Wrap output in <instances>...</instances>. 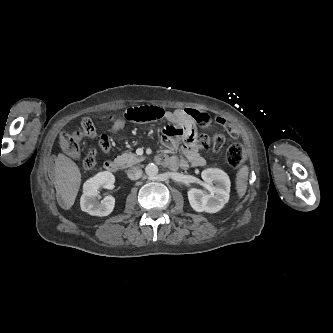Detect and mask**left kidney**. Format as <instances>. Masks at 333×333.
<instances>
[{
  "label": "left kidney",
  "mask_w": 333,
  "mask_h": 333,
  "mask_svg": "<svg viewBox=\"0 0 333 333\" xmlns=\"http://www.w3.org/2000/svg\"><path fill=\"white\" fill-rule=\"evenodd\" d=\"M201 177L209 194L202 189L191 188L188 191L189 203L196 212L216 213L229 200L230 178L224 171L217 168L203 170Z\"/></svg>",
  "instance_id": "5707ae66"
}]
</instances>
